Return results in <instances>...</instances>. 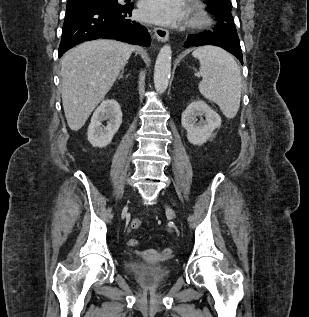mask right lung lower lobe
<instances>
[{"label": "right lung lower lobe", "mask_w": 309, "mask_h": 317, "mask_svg": "<svg viewBox=\"0 0 309 317\" xmlns=\"http://www.w3.org/2000/svg\"><path fill=\"white\" fill-rule=\"evenodd\" d=\"M133 5L109 6L68 0L58 56L75 45L98 38L149 46L147 29L130 19Z\"/></svg>", "instance_id": "98d812e1"}]
</instances>
